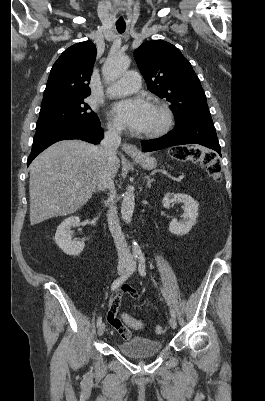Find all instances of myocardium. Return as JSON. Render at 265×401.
Listing matches in <instances>:
<instances>
[{"label": "myocardium", "mask_w": 265, "mask_h": 401, "mask_svg": "<svg viewBox=\"0 0 265 401\" xmlns=\"http://www.w3.org/2000/svg\"><path fill=\"white\" fill-rule=\"evenodd\" d=\"M151 106L155 107L160 112V122L154 129L143 131L145 137H154L162 134L170 127L173 119L172 111L164 102L153 101Z\"/></svg>", "instance_id": "myocardium-1"}]
</instances>
